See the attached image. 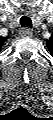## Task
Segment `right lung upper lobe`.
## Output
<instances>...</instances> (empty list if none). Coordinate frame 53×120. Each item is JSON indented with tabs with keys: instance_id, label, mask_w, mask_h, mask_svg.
I'll list each match as a JSON object with an SVG mask.
<instances>
[{
	"instance_id": "1",
	"label": "right lung upper lobe",
	"mask_w": 53,
	"mask_h": 120,
	"mask_svg": "<svg viewBox=\"0 0 53 120\" xmlns=\"http://www.w3.org/2000/svg\"><path fill=\"white\" fill-rule=\"evenodd\" d=\"M6 39H7V38L0 37V42H1V44H3L4 41H6Z\"/></svg>"
}]
</instances>
